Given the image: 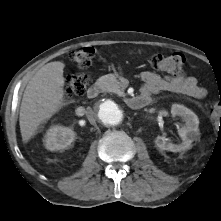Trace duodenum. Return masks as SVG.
<instances>
[{
	"label": "duodenum",
	"instance_id": "duodenum-1",
	"mask_svg": "<svg viewBox=\"0 0 221 221\" xmlns=\"http://www.w3.org/2000/svg\"><path fill=\"white\" fill-rule=\"evenodd\" d=\"M99 92H100V86L94 84L88 88L87 96L88 98L93 99L98 96ZM150 103H151V96L149 94H141L128 99L129 106L135 109L145 107Z\"/></svg>",
	"mask_w": 221,
	"mask_h": 221
}]
</instances>
